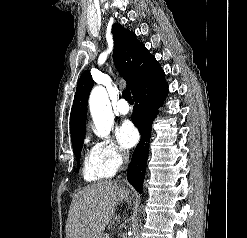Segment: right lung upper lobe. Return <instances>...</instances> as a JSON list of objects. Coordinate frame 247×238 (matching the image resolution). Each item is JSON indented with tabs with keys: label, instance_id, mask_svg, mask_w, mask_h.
Segmentation results:
<instances>
[{
	"label": "right lung upper lobe",
	"instance_id": "right-lung-upper-lobe-1",
	"mask_svg": "<svg viewBox=\"0 0 247 238\" xmlns=\"http://www.w3.org/2000/svg\"><path fill=\"white\" fill-rule=\"evenodd\" d=\"M114 64L127 82V89L134 95L160 72L161 67L133 32L119 24L113 25ZM93 87L89 71L83 72L77 83V89L70 114V132L72 144L85 138L86 108L89 93Z\"/></svg>",
	"mask_w": 247,
	"mask_h": 238
}]
</instances>
